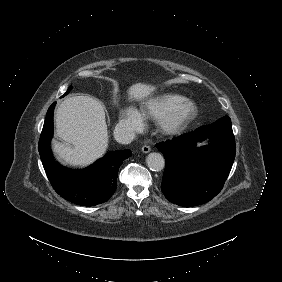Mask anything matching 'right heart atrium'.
I'll return each mask as SVG.
<instances>
[{"label":"right heart atrium","mask_w":282,"mask_h":282,"mask_svg":"<svg viewBox=\"0 0 282 282\" xmlns=\"http://www.w3.org/2000/svg\"><path fill=\"white\" fill-rule=\"evenodd\" d=\"M119 127L134 134L142 129L143 121L138 112L128 110L119 122Z\"/></svg>","instance_id":"obj_1"}]
</instances>
